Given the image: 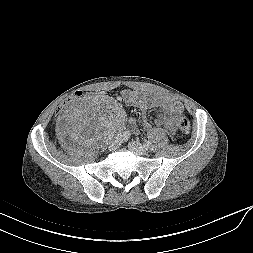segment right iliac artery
<instances>
[{"instance_id":"82829eb1","label":"right iliac artery","mask_w":253,"mask_h":253,"mask_svg":"<svg viewBox=\"0 0 253 253\" xmlns=\"http://www.w3.org/2000/svg\"><path fill=\"white\" fill-rule=\"evenodd\" d=\"M130 135H131V133H130L129 131H124V132L120 135V137H121V139H123V140H127L128 138H130Z\"/></svg>"}]
</instances>
